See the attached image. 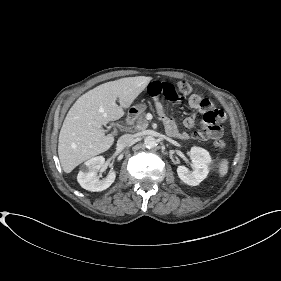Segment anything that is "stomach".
Listing matches in <instances>:
<instances>
[{
    "mask_svg": "<svg viewBox=\"0 0 281 281\" xmlns=\"http://www.w3.org/2000/svg\"><path fill=\"white\" fill-rule=\"evenodd\" d=\"M147 106L145 104H138L136 106L133 107V114L134 115H139L142 112H144L146 110Z\"/></svg>",
    "mask_w": 281,
    "mask_h": 281,
    "instance_id": "obj_1",
    "label": "stomach"
}]
</instances>
